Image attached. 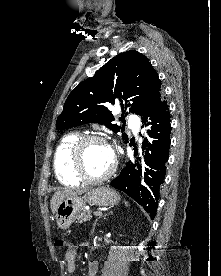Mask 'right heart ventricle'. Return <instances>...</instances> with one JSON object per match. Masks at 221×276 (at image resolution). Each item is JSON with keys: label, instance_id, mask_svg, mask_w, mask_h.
<instances>
[{"label": "right heart ventricle", "instance_id": "e07e8e85", "mask_svg": "<svg viewBox=\"0 0 221 276\" xmlns=\"http://www.w3.org/2000/svg\"><path fill=\"white\" fill-rule=\"evenodd\" d=\"M80 137L78 132L66 134L59 142L54 155V168L58 179L65 185H78L82 180L74 173L71 162L70 152Z\"/></svg>", "mask_w": 221, "mask_h": 276}]
</instances>
